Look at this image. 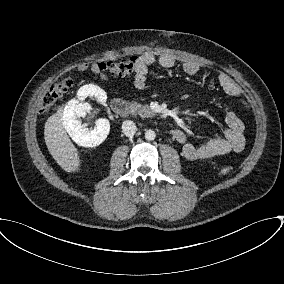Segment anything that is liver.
I'll return each instance as SVG.
<instances>
[{
  "mask_svg": "<svg viewBox=\"0 0 284 284\" xmlns=\"http://www.w3.org/2000/svg\"><path fill=\"white\" fill-rule=\"evenodd\" d=\"M63 116V110L59 109L47 119L44 126L45 143L62 169L66 172H78L80 167L78 150L67 135Z\"/></svg>",
  "mask_w": 284,
  "mask_h": 284,
  "instance_id": "1",
  "label": "liver"
}]
</instances>
